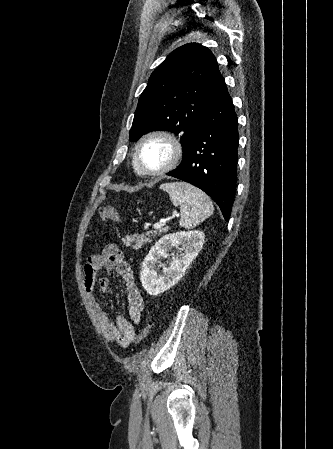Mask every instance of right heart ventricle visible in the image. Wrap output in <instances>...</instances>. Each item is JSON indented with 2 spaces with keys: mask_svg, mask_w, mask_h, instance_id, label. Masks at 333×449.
Here are the masks:
<instances>
[{
  "mask_svg": "<svg viewBox=\"0 0 333 449\" xmlns=\"http://www.w3.org/2000/svg\"><path fill=\"white\" fill-rule=\"evenodd\" d=\"M133 168H134V171H135L137 174H139L138 171H137L136 165H135V163H134V160H133Z\"/></svg>",
  "mask_w": 333,
  "mask_h": 449,
  "instance_id": "e07e8e85",
  "label": "right heart ventricle"
}]
</instances>
